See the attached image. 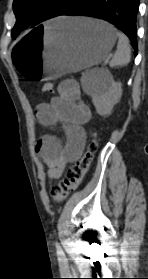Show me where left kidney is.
Wrapping results in <instances>:
<instances>
[{
    "label": "left kidney",
    "mask_w": 148,
    "mask_h": 279,
    "mask_svg": "<svg viewBox=\"0 0 148 279\" xmlns=\"http://www.w3.org/2000/svg\"><path fill=\"white\" fill-rule=\"evenodd\" d=\"M101 90L92 96L96 111L101 116L110 115L122 96V85L115 82L108 72L100 76Z\"/></svg>",
    "instance_id": "5707ae66"
}]
</instances>
